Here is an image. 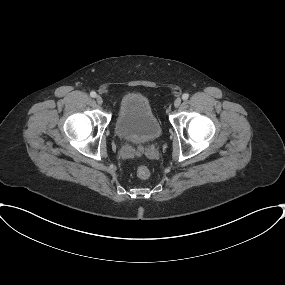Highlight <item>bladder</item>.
Returning a JSON list of instances; mask_svg holds the SVG:
<instances>
[{"label":"bladder","mask_w":285,"mask_h":285,"mask_svg":"<svg viewBox=\"0 0 285 285\" xmlns=\"http://www.w3.org/2000/svg\"><path fill=\"white\" fill-rule=\"evenodd\" d=\"M115 132L120 139L135 144L149 143L160 136V123L145 95L131 92L122 98L115 120Z\"/></svg>","instance_id":"obj_1"}]
</instances>
